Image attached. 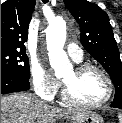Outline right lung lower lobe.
<instances>
[{"instance_id":"98d812e1","label":"right lung lower lobe","mask_w":122,"mask_h":123,"mask_svg":"<svg viewBox=\"0 0 122 123\" xmlns=\"http://www.w3.org/2000/svg\"><path fill=\"white\" fill-rule=\"evenodd\" d=\"M29 88V79L1 70V94L27 91Z\"/></svg>"}]
</instances>
